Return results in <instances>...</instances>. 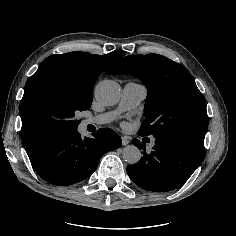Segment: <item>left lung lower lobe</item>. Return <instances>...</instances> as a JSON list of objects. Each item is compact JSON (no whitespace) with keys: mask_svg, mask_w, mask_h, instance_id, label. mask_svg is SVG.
Returning a JSON list of instances; mask_svg holds the SVG:
<instances>
[{"mask_svg":"<svg viewBox=\"0 0 236 236\" xmlns=\"http://www.w3.org/2000/svg\"><path fill=\"white\" fill-rule=\"evenodd\" d=\"M151 153L145 141L132 143L143 149V157L127 167L131 180L139 187L155 192H167L183 185L205 157L204 144L166 133L156 136Z\"/></svg>","mask_w":236,"mask_h":236,"instance_id":"0a47b994","label":"left lung lower lobe"}]
</instances>
